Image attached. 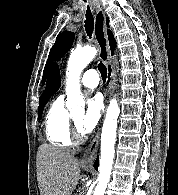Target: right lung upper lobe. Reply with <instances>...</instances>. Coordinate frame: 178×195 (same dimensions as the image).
<instances>
[{"label": "right lung upper lobe", "mask_w": 178, "mask_h": 195, "mask_svg": "<svg viewBox=\"0 0 178 195\" xmlns=\"http://www.w3.org/2000/svg\"><path fill=\"white\" fill-rule=\"evenodd\" d=\"M108 39L111 48V54L113 55L116 46L115 39L111 31L108 30ZM61 85L60 71L57 65L51 66L46 89L40 97L39 106L46 104L50 97L57 92Z\"/></svg>", "instance_id": "cb5924a9"}]
</instances>
